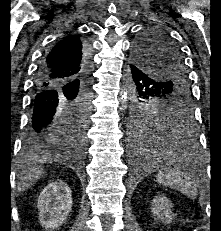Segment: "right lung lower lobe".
<instances>
[{
    "instance_id": "1",
    "label": "right lung lower lobe",
    "mask_w": 221,
    "mask_h": 231,
    "mask_svg": "<svg viewBox=\"0 0 221 231\" xmlns=\"http://www.w3.org/2000/svg\"><path fill=\"white\" fill-rule=\"evenodd\" d=\"M87 74L77 81L42 84L45 71L39 68L35 81V95L31 121L23 141L26 158L75 154L81 157L84 144L65 130L64 114L78 102H90L91 64L86 59Z\"/></svg>"
}]
</instances>
